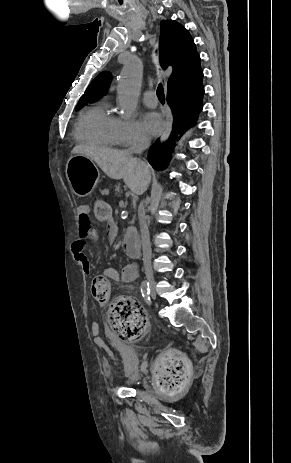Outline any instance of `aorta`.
Segmentation results:
<instances>
[{"mask_svg": "<svg viewBox=\"0 0 291 463\" xmlns=\"http://www.w3.org/2000/svg\"><path fill=\"white\" fill-rule=\"evenodd\" d=\"M142 72V62L138 58L130 60L122 69L117 92L119 107L124 118H130L136 110Z\"/></svg>", "mask_w": 291, "mask_h": 463, "instance_id": "762f6f07", "label": "aorta"}]
</instances>
